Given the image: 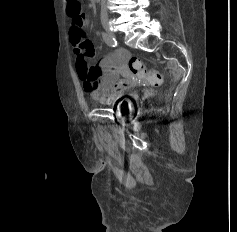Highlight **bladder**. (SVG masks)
<instances>
[{
  "label": "bladder",
  "mask_w": 237,
  "mask_h": 232,
  "mask_svg": "<svg viewBox=\"0 0 237 232\" xmlns=\"http://www.w3.org/2000/svg\"><path fill=\"white\" fill-rule=\"evenodd\" d=\"M134 103L133 99H122L116 102L115 107L122 113H130L134 110Z\"/></svg>",
  "instance_id": "31cf9c89"
}]
</instances>
